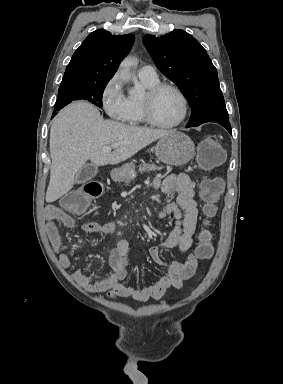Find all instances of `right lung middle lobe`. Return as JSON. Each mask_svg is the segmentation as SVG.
<instances>
[{
  "label": "right lung middle lobe",
  "instance_id": "dd1d6c3e",
  "mask_svg": "<svg viewBox=\"0 0 283 384\" xmlns=\"http://www.w3.org/2000/svg\"><path fill=\"white\" fill-rule=\"evenodd\" d=\"M107 83L82 84L59 88L55 109H61L73 100H87L102 108V94Z\"/></svg>",
  "mask_w": 283,
  "mask_h": 384
}]
</instances>
